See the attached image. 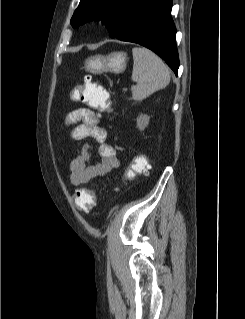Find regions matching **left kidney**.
Wrapping results in <instances>:
<instances>
[{"mask_svg":"<svg viewBox=\"0 0 245 319\" xmlns=\"http://www.w3.org/2000/svg\"><path fill=\"white\" fill-rule=\"evenodd\" d=\"M149 119L150 117L148 115L145 114H141L138 118H137V128L140 131H143L149 124Z\"/></svg>","mask_w":245,"mask_h":319,"instance_id":"obj_1","label":"left kidney"}]
</instances>
